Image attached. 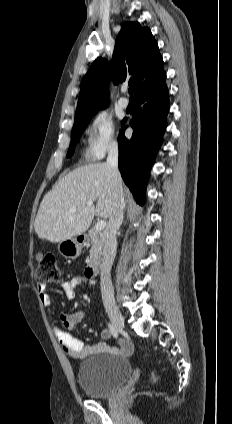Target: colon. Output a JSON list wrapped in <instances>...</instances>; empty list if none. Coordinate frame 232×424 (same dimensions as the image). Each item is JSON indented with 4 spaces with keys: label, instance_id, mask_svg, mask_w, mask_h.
<instances>
[{
    "label": "colon",
    "instance_id": "5ec220e1",
    "mask_svg": "<svg viewBox=\"0 0 232 424\" xmlns=\"http://www.w3.org/2000/svg\"><path fill=\"white\" fill-rule=\"evenodd\" d=\"M65 278L64 270L58 265L56 256L51 253L38 255V266L36 270V280L40 284H53ZM152 382L157 380L156 374L151 376Z\"/></svg>",
    "mask_w": 232,
    "mask_h": 424
}]
</instances>
